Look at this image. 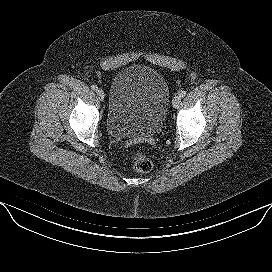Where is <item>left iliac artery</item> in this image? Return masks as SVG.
<instances>
[{
    "label": "left iliac artery",
    "mask_w": 272,
    "mask_h": 272,
    "mask_svg": "<svg viewBox=\"0 0 272 272\" xmlns=\"http://www.w3.org/2000/svg\"><path fill=\"white\" fill-rule=\"evenodd\" d=\"M185 95H186V91H181L180 96L185 97Z\"/></svg>",
    "instance_id": "left-iliac-artery-1"
}]
</instances>
